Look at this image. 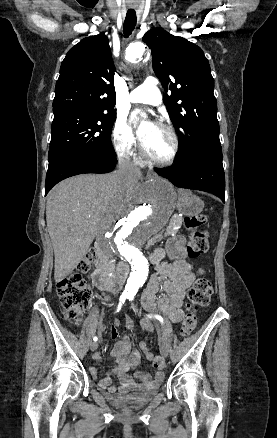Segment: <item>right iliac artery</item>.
Wrapping results in <instances>:
<instances>
[{
    "instance_id": "obj_1",
    "label": "right iliac artery",
    "mask_w": 277,
    "mask_h": 438,
    "mask_svg": "<svg viewBox=\"0 0 277 438\" xmlns=\"http://www.w3.org/2000/svg\"><path fill=\"white\" fill-rule=\"evenodd\" d=\"M127 295H121L119 299V305L117 307V312L121 309L122 305L124 304L125 300L127 299ZM93 340L96 342L98 338L95 336Z\"/></svg>"
}]
</instances>
